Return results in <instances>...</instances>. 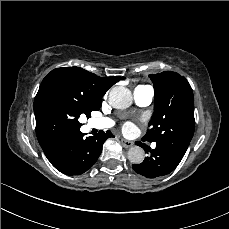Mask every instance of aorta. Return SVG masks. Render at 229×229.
Instances as JSON below:
<instances>
[{
	"label": "aorta",
	"mask_w": 229,
	"mask_h": 229,
	"mask_svg": "<svg viewBox=\"0 0 229 229\" xmlns=\"http://www.w3.org/2000/svg\"><path fill=\"white\" fill-rule=\"evenodd\" d=\"M133 101L131 91L123 86H115L109 93V103L113 108L126 109ZM127 157L130 162L140 164L145 158L144 150L139 146L131 147L127 152Z\"/></svg>",
	"instance_id": "aorta-1"
}]
</instances>
